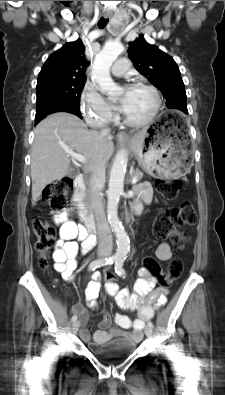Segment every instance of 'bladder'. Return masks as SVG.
I'll list each match as a JSON object with an SVG mask.
<instances>
[{"label":"bladder","mask_w":225,"mask_h":395,"mask_svg":"<svg viewBox=\"0 0 225 395\" xmlns=\"http://www.w3.org/2000/svg\"><path fill=\"white\" fill-rule=\"evenodd\" d=\"M137 343L126 338H116L105 344L91 345L92 354L102 361H113L124 358L135 352Z\"/></svg>","instance_id":"bladder-1"}]
</instances>
